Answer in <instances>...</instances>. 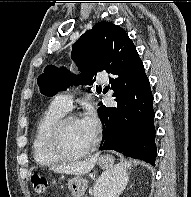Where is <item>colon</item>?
<instances>
[{
    "instance_id": "obj_1",
    "label": "colon",
    "mask_w": 191,
    "mask_h": 197,
    "mask_svg": "<svg viewBox=\"0 0 191 197\" xmlns=\"http://www.w3.org/2000/svg\"><path fill=\"white\" fill-rule=\"evenodd\" d=\"M31 182L33 184L35 192L39 194H43L48 189V181L47 179L37 173L31 175Z\"/></svg>"
}]
</instances>
